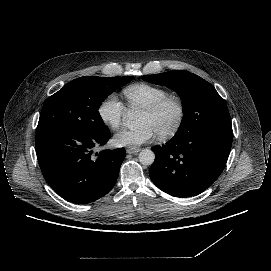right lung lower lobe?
Here are the masks:
<instances>
[{
    "label": "right lung lower lobe",
    "instance_id": "right-lung-lower-lobe-1",
    "mask_svg": "<svg viewBox=\"0 0 271 271\" xmlns=\"http://www.w3.org/2000/svg\"><path fill=\"white\" fill-rule=\"evenodd\" d=\"M110 137L107 127L93 133L60 128L36 133L37 159L47 183L58 195L78 204L107 194L116 183L126 152L123 148L104 150L94 157L92 150Z\"/></svg>",
    "mask_w": 271,
    "mask_h": 271
}]
</instances>
